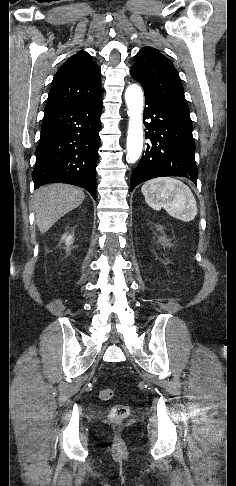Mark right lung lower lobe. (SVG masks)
I'll return each instance as SVG.
<instances>
[{"instance_id": "right-lung-lower-lobe-1", "label": "right lung lower lobe", "mask_w": 236, "mask_h": 486, "mask_svg": "<svg viewBox=\"0 0 236 486\" xmlns=\"http://www.w3.org/2000/svg\"><path fill=\"white\" fill-rule=\"evenodd\" d=\"M102 96L45 111L32 173L34 187L67 183L96 199V163Z\"/></svg>"}]
</instances>
